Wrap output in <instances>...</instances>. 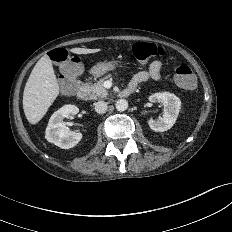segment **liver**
I'll list each match as a JSON object with an SVG mask.
<instances>
[{"label":"liver","instance_id":"obj_1","mask_svg":"<svg viewBox=\"0 0 232 232\" xmlns=\"http://www.w3.org/2000/svg\"><path fill=\"white\" fill-rule=\"evenodd\" d=\"M74 54H92L101 49L72 48ZM59 95V85L49 56L39 59L34 66L23 93V109L29 123H38Z\"/></svg>","mask_w":232,"mask_h":232}]
</instances>
